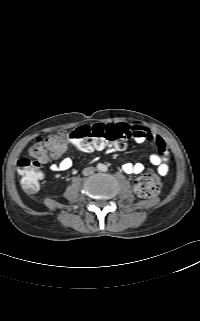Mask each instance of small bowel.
<instances>
[{"mask_svg":"<svg viewBox=\"0 0 200 321\" xmlns=\"http://www.w3.org/2000/svg\"><path fill=\"white\" fill-rule=\"evenodd\" d=\"M110 125L113 127L126 126L132 134L131 138H133V140L138 144H142L144 142L153 143L156 146V151L150 155V162L156 166V170L159 175L165 176L168 173L169 167L167 165V159L169 156V148L161 136L153 132L151 129L138 124L128 125L125 123H118L115 125ZM109 146L115 148L113 145ZM64 151L65 147L52 158L57 159L61 157ZM71 167L72 160L70 158H63L58 163H53L50 168L54 172H64L69 170ZM122 169L126 174H140L144 171L145 166L141 162H127L122 165Z\"/></svg>","mask_w":200,"mask_h":321,"instance_id":"small-bowel-1","label":"small bowel"}]
</instances>
